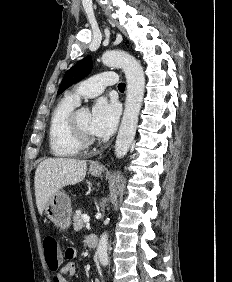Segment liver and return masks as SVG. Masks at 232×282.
Segmentation results:
<instances>
[{
	"instance_id": "6515ba94",
	"label": "liver",
	"mask_w": 232,
	"mask_h": 282,
	"mask_svg": "<svg viewBox=\"0 0 232 282\" xmlns=\"http://www.w3.org/2000/svg\"><path fill=\"white\" fill-rule=\"evenodd\" d=\"M87 163L73 158H49L36 168L34 187L36 205L42 215L51 197L61 188L80 183L85 178Z\"/></svg>"
}]
</instances>
